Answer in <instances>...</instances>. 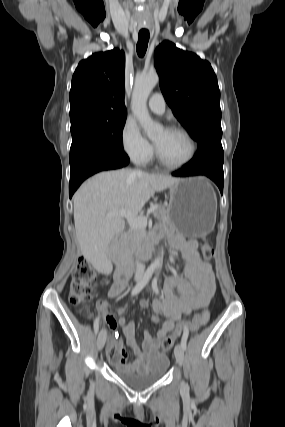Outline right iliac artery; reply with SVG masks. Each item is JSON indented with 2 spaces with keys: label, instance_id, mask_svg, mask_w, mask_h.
Here are the masks:
<instances>
[{
  "label": "right iliac artery",
  "instance_id": "82829eb1",
  "mask_svg": "<svg viewBox=\"0 0 285 427\" xmlns=\"http://www.w3.org/2000/svg\"><path fill=\"white\" fill-rule=\"evenodd\" d=\"M153 272H154V267H149L146 270L143 278L133 288L132 293H131L133 296L137 295L146 286V284L149 282L150 278L152 277ZM94 331H95V334H97L99 331L98 321H96V323L94 324Z\"/></svg>",
  "mask_w": 285,
  "mask_h": 427
}]
</instances>
